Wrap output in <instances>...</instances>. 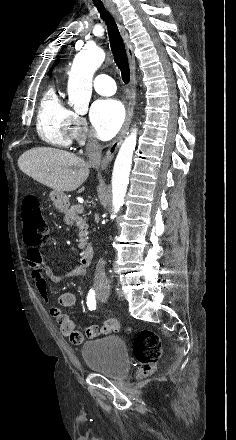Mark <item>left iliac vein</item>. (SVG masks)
<instances>
[{"label":"left iliac vein","instance_id":"obj_1","mask_svg":"<svg viewBox=\"0 0 236 440\" xmlns=\"http://www.w3.org/2000/svg\"><path fill=\"white\" fill-rule=\"evenodd\" d=\"M101 302H106L107 299L106 298H100Z\"/></svg>","mask_w":236,"mask_h":440}]
</instances>
